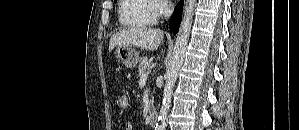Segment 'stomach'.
Wrapping results in <instances>:
<instances>
[{
    "label": "stomach",
    "instance_id": "0dacf381",
    "mask_svg": "<svg viewBox=\"0 0 299 130\" xmlns=\"http://www.w3.org/2000/svg\"><path fill=\"white\" fill-rule=\"evenodd\" d=\"M114 56L118 62L126 68H134L139 61L138 52L131 46H117L114 50Z\"/></svg>",
    "mask_w": 299,
    "mask_h": 130
}]
</instances>
